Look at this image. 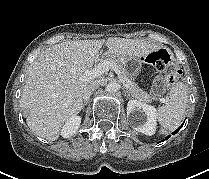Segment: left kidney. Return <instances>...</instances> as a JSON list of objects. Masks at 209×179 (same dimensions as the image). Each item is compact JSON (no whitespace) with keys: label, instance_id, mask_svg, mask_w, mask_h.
<instances>
[{"label":"left kidney","instance_id":"left-kidney-1","mask_svg":"<svg viewBox=\"0 0 209 179\" xmlns=\"http://www.w3.org/2000/svg\"><path fill=\"white\" fill-rule=\"evenodd\" d=\"M137 112H143L146 115V121L143 122ZM127 115L129 116L132 127L145 135H153L156 131V109L154 106L146 103L130 100L127 104Z\"/></svg>","mask_w":209,"mask_h":179}]
</instances>
